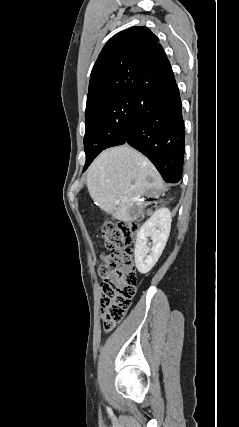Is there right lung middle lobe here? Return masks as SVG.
I'll use <instances>...</instances> for the list:
<instances>
[{"mask_svg": "<svg viewBox=\"0 0 239 427\" xmlns=\"http://www.w3.org/2000/svg\"><path fill=\"white\" fill-rule=\"evenodd\" d=\"M139 100L140 96L126 95L101 100L86 107L84 136L86 163L83 171L101 151L123 143Z\"/></svg>", "mask_w": 239, "mask_h": 427, "instance_id": "1", "label": "right lung middle lobe"}]
</instances>
